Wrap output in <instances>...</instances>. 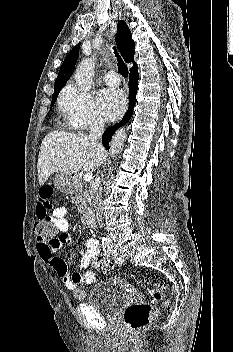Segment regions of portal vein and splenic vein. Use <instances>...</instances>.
I'll use <instances>...</instances> for the list:
<instances>
[{"label": "portal vein and splenic vein", "instance_id": "1", "mask_svg": "<svg viewBox=\"0 0 233 352\" xmlns=\"http://www.w3.org/2000/svg\"><path fill=\"white\" fill-rule=\"evenodd\" d=\"M83 179L85 181H91L92 180V174L91 173H85L84 176H83Z\"/></svg>", "mask_w": 233, "mask_h": 352}]
</instances>
